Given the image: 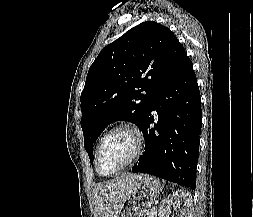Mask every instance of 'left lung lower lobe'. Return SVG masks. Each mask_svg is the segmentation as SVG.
Listing matches in <instances>:
<instances>
[{
	"label": "left lung lower lobe",
	"mask_w": 253,
	"mask_h": 217,
	"mask_svg": "<svg viewBox=\"0 0 253 217\" xmlns=\"http://www.w3.org/2000/svg\"><path fill=\"white\" fill-rule=\"evenodd\" d=\"M156 110L157 117L152 116ZM154 123V127L150 125ZM202 112L192 62L185 54L154 94L139 128L145 151L132 172H141L195 189Z\"/></svg>",
	"instance_id": "1"
}]
</instances>
